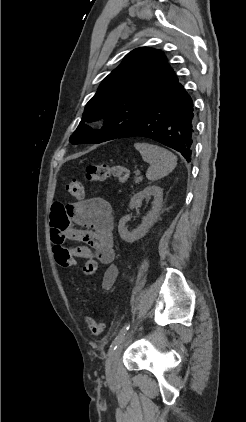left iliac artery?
<instances>
[{
  "mask_svg": "<svg viewBox=\"0 0 246 422\" xmlns=\"http://www.w3.org/2000/svg\"><path fill=\"white\" fill-rule=\"evenodd\" d=\"M129 329V324L126 323L124 325V327L120 330L119 334L116 336V338L114 339V341L112 342L110 349H109V354L111 355V353L117 348V346L119 345V343L121 342L122 338L125 336L127 330Z\"/></svg>",
  "mask_w": 246,
  "mask_h": 422,
  "instance_id": "left-iliac-artery-1",
  "label": "left iliac artery"
}]
</instances>
